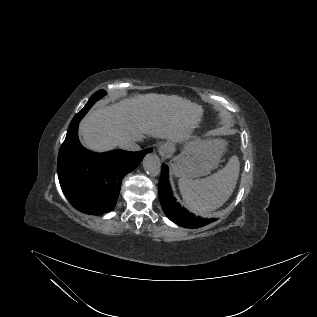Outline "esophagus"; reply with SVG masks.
Wrapping results in <instances>:
<instances>
[{"label": "esophagus", "instance_id": "obj_1", "mask_svg": "<svg viewBox=\"0 0 317 317\" xmlns=\"http://www.w3.org/2000/svg\"><path fill=\"white\" fill-rule=\"evenodd\" d=\"M172 149V145L169 143L161 144L158 147V154L161 157V159H164L166 156H168L169 153L172 152Z\"/></svg>", "mask_w": 317, "mask_h": 317}]
</instances>
